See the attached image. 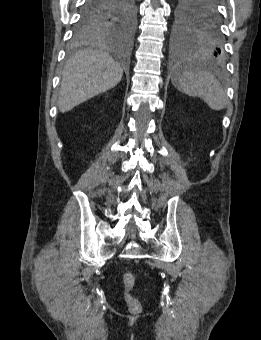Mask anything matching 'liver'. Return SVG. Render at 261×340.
Listing matches in <instances>:
<instances>
[{
	"label": "liver",
	"instance_id": "1",
	"mask_svg": "<svg viewBox=\"0 0 261 340\" xmlns=\"http://www.w3.org/2000/svg\"><path fill=\"white\" fill-rule=\"evenodd\" d=\"M123 70L106 52L82 50L66 63L58 98L61 113L115 87Z\"/></svg>",
	"mask_w": 261,
	"mask_h": 340
}]
</instances>
